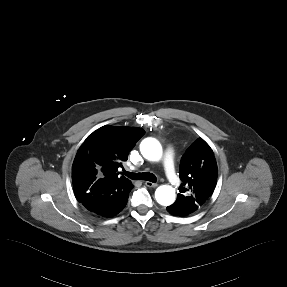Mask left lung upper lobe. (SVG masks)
<instances>
[{
    "label": "left lung upper lobe",
    "mask_w": 287,
    "mask_h": 287,
    "mask_svg": "<svg viewBox=\"0 0 287 287\" xmlns=\"http://www.w3.org/2000/svg\"><path fill=\"white\" fill-rule=\"evenodd\" d=\"M217 175L212 149L202 138H198L181 159L179 177L182 184L175 204L189 212L199 209L211 196Z\"/></svg>",
    "instance_id": "1"
}]
</instances>
